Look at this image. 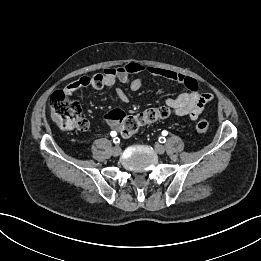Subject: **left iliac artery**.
I'll use <instances>...</instances> for the list:
<instances>
[{"label":"left iliac artery","instance_id":"left-iliac-artery-1","mask_svg":"<svg viewBox=\"0 0 261 261\" xmlns=\"http://www.w3.org/2000/svg\"><path fill=\"white\" fill-rule=\"evenodd\" d=\"M167 134H168V132L166 130L162 131V135L163 136H166ZM165 141H166L165 137H160L159 138V142L160 143H165Z\"/></svg>","mask_w":261,"mask_h":261}]
</instances>
